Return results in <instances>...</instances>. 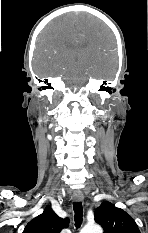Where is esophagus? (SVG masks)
<instances>
[{
  "mask_svg": "<svg viewBox=\"0 0 148 233\" xmlns=\"http://www.w3.org/2000/svg\"><path fill=\"white\" fill-rule=\"evenodd\" d=\"M72 199H73V201H75V202H81V201L84 200V195H83L82 192L76 191V192H74V193L72 194Z\"/></svg>",
  "mask_w": 148,
  "mask_h": 233,
  "instance_id": "obj_1",
  "label": "esophagus"
}]
</instances>
